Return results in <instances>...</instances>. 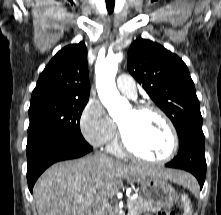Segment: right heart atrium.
<instances>
[{
    "label": "right heart atrium",
    "mask_w": 221,
    "mask_h": 215,
    "mask_svg": "<svg viewBox=\"0 0 221 215\" xmlns=\"http://www.w3.org/2000/svg\"><path fill=\"white\" fill-rule=\"evenodd\" d=\"M79 126L84 139L96 147L110 144L117 136L115 122L95 99H90L83 108Z\"/></svg>",
    "instance_id": "1"
}]
</instances>
